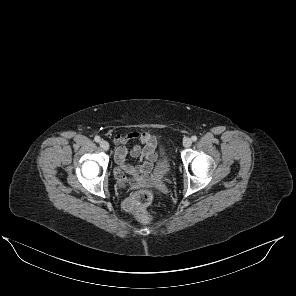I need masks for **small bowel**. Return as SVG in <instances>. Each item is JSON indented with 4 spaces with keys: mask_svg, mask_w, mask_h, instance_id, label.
<instances>
[{
    "mask_svg": "<svg viewBox=\"0 0 296 296\" xmlns=\"http://www.w3.org/2000/svg\"><path fill=\"white\" fill-rule=\"evenodd\" d=\"M115 143L118 145L115 152V160L118 165L116 176L120 184H126L130 180L125 173L135 177L137 182H141L150 177L154 163L157 161L156 139L148 132H130L125 135L118 134L114 137ZM137 142L131 149L125 144ZM138 159V163L132 165L128 158Z\"/></svg>",
    "mask_w": 296,
    "mask_h": 296,
    "instance_id": "obj_1",
    "label": "small bowel"
}]
</instances>
